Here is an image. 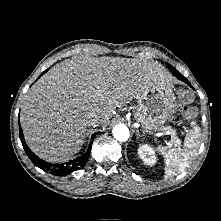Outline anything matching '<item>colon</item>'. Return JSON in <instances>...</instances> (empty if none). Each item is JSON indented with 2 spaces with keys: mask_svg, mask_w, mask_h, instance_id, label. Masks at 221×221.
I'll list each match as a JSON object with an SVG mask.
<instances>
[{
  "mask_svg": "<svg viewBox=\"0 0 221 221\" xmlns=\"http://www.w3.org/2000/svg\"><path fill=\"white\" fill-rule=\"evenodd\" d=\"M179 100L182 105L181 110L185 116H192L194 114V110L187 107L186 104L191 100V95L187 91H182L179 94Z\"/></svg>",
  "mask_w": 221,
  "mask_h": 221,
  "instance_id": "colon-1",
  "label": "colon"
}]
</instances>
